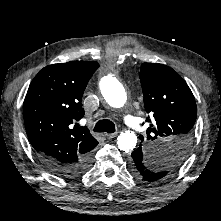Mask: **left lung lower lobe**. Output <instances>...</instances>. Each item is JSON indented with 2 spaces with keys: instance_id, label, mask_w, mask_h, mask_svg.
Returning <instances> with one entry per match:
<instances>
[{
  "instance_id": "0a47b994",
  "label": "left lung lower lobe",
  "mask_w": 221,
  "mask_h": 221,
  "mask_svg": "<svg viewBox=\"0 0 221 221\" xmlns=\"http://www.w3.org/2000/svg\"><path fill=\"white\" fill-rule=\"evenodd\" d=\"M130 171L137 179L147 183H155V179L159 176L152 171L141 146L131 154Z\"/></svg>"
}]
</instances>
